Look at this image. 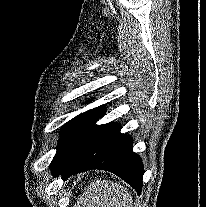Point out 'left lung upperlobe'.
<instances>
[{
  "instance_id": "5c2ea615",
  "label": "left lung upper lobe",
  "mask_w": 206,
  "mask_h": 207,
  "mask_svg": "<svg viewBox=\"0 0 206 207\" xmlns=\"http://www.w3.org/2000/svg\"><path fill=\"white\" fill-rule=\"evenodd\" d=\"M103 107H97L79 114L67 122L61 129L63 137L57 146L51 166L68 160L80 148L95 122L104 115Z\"/></svg>"
}]
</instances>
